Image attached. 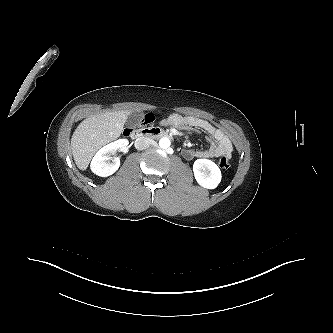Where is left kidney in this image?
<instances>
[{"mask_svg":"<svg viewBox=\"0 0 333 333\" xmlns=\"http://www.w3.org/2000/svg\"><path fill=\"white\" fill-rule=\"evenodd\" d=\"M193 171L199 185L207 189H214L221 182L219 167L208 159H197L193 164Z\"/></svg>","mask_w":333,"mask_h":333,"instance_id":"1","label":"left kidney"}]
</instances>
